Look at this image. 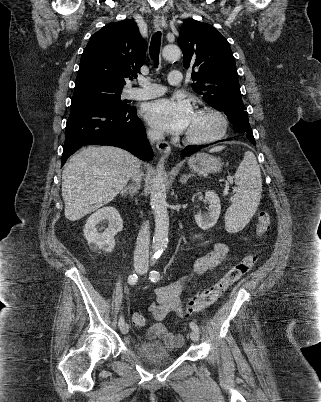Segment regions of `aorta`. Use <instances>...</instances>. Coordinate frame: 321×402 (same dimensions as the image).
Wrapping results in <instances>:
<instances>
[{
    "label": "aorta",
    "instance_id": "aorta-1",
    "mask_svg": "<svg viewBox=\"0 0 321 402\" xmlns=\"http://www.w3.org/2000/svg\"><path fill=\"white\" fill-rule=\"evenodd\" d=\"M162 56L167 61L178 60L181 56V50L176 45H167L163 48ZM164 162L165 156L161 157L156 176L154 177L151 185V207L155 219V233L153 236V251L154 257H159L166 249L168 244L169 232V216L167 211L166 201V186L164 180Z\"/></svg>",
    "mask_w": 321,
    "mask_h": 402
}]
</instances>
